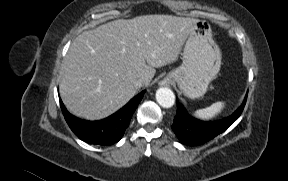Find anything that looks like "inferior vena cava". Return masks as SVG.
<instances>
[{"label": "inferior vena cava", "instance_id": "obj_1", "mask_svg": "<svg viewBox=\"0 0 288 181\" xmlns=\"http://www.w3.org/2000/svg\"><path fill=\"white\" fill-rule=\"evenodd\" d=\"M144 84H145V80L143 78H139V79L134 81V86L136 88H140V87L144 86Z\"/></svg>", "mask_w": 288, "mask_h": 181}]
</instances>
